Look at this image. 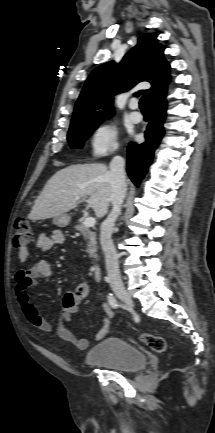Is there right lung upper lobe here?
Listing matches in <instances>:
<instances>
[{
	"mask_svg": "<svg viewBox=\"0 0 215 433\" xmlns=\"http://www.w3.org/2000/svg\"><path fill=\"white\" fill-rule=\"evenodd\" d=\"M156 37L157 34H144L119 65L111 61L91 73L76 102L71 124L113 116L114 95L139 82L151 83L152 87L146 90L149 102L166 91L170 65L163 58L164 46L158 44Z\"/></svg>",
	"mask_w": 215,
	"mask_h": 433,
	"instance_id": "1",
	"label": "right lung upper lobe"
}]
</instances>
